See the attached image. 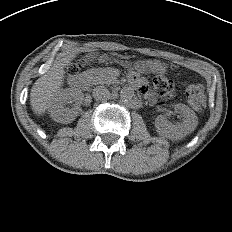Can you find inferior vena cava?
Returning a JSON list of instances; mask_svg holds the SVG:
<instances>
[{"mask_svg":"<svg viewBox=\"0 0 232 232\" xmlns=\"http://www.w3.org/2000/svg\"><path fill=\"white\" fill-rule=\"evenodd\" d=\"M93 96L97 100H104L110 97V92L105 86H97L93 90Z\"/></svg>","mask_w":232,"mask_h":232,"instance_id":"602c4592","label":"inferior vena cava"}]
</instances>
